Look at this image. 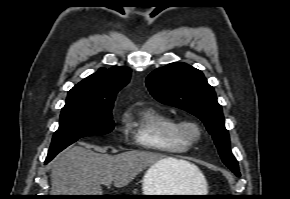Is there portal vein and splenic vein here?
Wrapping results in <instances>:
<instances>
[{
	"instance_id": "portal-vein-and-splenic-vein-1",
	"label": "portal vein and splenic vein",
	"mask_w": 290,
	"mask_h": 199,
	"mask_svg": "<svg viewBox=\"0 0 290 199\" xmlns=\"http://www.w3.org/2000/svg\"><path fill=\"white\" fill-rule=\"evenodd\" d=\"M110 183H111L110 181H107V182H104L103 184L109 185Z\"/></svg>"
}]
</instances>
